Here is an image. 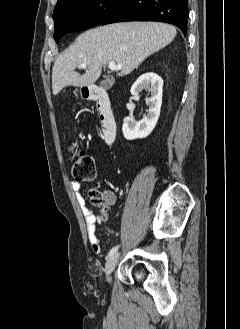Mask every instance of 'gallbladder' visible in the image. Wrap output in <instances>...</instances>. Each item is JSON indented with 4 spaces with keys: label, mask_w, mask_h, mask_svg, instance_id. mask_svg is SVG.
<instances>
[{
    "label": "gallbladder",
    "mask_w": 240,
    "mask_h": 329,
    "mask_svg": "<svg viewBox=\"0 0 240 329\" xmlns=\"http://www.w3.org/2000/svg\"><path fill=\"white\" fill-rule=\"evenodd\" d=\"M100 87L103 88V89H109L110 88V84L107 80H103L101 83H100Z\"/></svg>",
    "instance_id": "gallbladder-1"
}]
</instances>
